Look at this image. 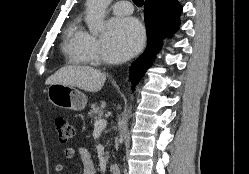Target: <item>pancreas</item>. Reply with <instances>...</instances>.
Instances as JSON below:
<instances>
[{"mask_svg": "<svg viewBox=\"0 0 249 174\" xmlns=\"http://www.w3.org/2000/svg\"><path fill=\"white\" fill-rule=\"evenodd\" d=\"M102 115H103L102 107H99L97 105V103L92 104L91 105V110L88 113V116L93 118V119H97V118H101ZM105 159L108 160V156H106Z\"/></svg>", "mask_w": 249, "mask_h": 174, "instance_id": "1", "label": "pancreas"}]
</instances>
